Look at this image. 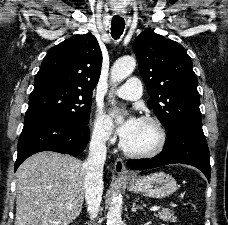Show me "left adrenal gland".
Masks as SVG:
<instances>
[{"instance_id":"a2214340","label":"left adrenal gland","mask_w":228,"mask_h":225,"mask_svg":"<svg viewBox=\"0 0 228 225\" xmlns=\"http://www.w3.org/2000/svg\"><path fill=\"white\" fill-rule=\"evenodd\" d=\"M137 209H141V207H138V205H136V203H133L131 211H133V213H135V211H137Z\"/></svg>"}]
</instances>
